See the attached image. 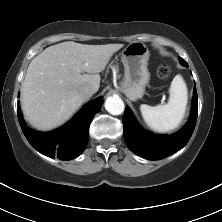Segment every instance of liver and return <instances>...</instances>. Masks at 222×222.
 <instances>
[{"instance_id":"liver-1","label":"liver","mask_w":222,"mask_h":222,"mask_svg":"<svg viewBox=\"0 0 222 222\" xmlns=\"http://www.w3.org/2000/svg\"><path fill=\"white\" fill-rule=\"evenodd\" d=\"M123 44L86 45L72 41L47 47L29 64L21 88L25 119L36 129L51 130L82 105L79 89L97 91L100 75Z\"/></svg>"}]
</instances>
